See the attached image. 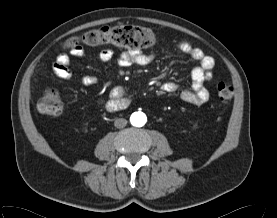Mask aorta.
I'll return each instance as SVG.
<instances>
[{"mask_svg": "<svg viewBox=\"0 0 277 218\" xmlns=\"http://www.w3.org/2000/svg\"><path fill=\"white\" fill-rule=\"evenodd\" d=\"M147 121L146 115L142 112H134L130 117V122L133 126L141 127Z\"/></svg>", "mask_w": 277, "mask_h": 218, "instance_id": "762f6f07", "label": "aorta"}]
</instances>
